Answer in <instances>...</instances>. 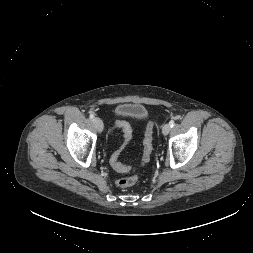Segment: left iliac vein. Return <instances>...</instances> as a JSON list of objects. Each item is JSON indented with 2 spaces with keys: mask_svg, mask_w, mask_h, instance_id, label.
Wrapping results in <instances>:
<instances>
[{
  "mask_svg": "<svg viewBox=\"0 0 253 253\" xmlns=\"http://www.w3.org/2000/svg\"><path fill=\"white\" fill-rule=\"evenodd\" d=\"M171 126L169 123L165 124L162 128L163 135H167L170 132Z\"/></svg>",
  "mask_w": 253,
  "mask_h": 253,
  "instance_id": "1",
  "label": "left iliac vein"
}]
</instances>
